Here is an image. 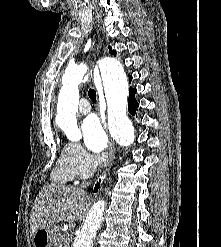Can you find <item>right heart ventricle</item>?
Wrapping results in <instances>:
<instances>
[{"mask_svg": "<svg viewBox=\"0 0 221 247\" xmlns=\"http://www.w3.org/2000/svg\"><path fill=\"white\" fill-rule=\"evenodd\" d=\"M53 180L59 183H67L74 179L72 171L66 164L65 156L62 151L57 166L53 170Z\"/></svg>", "mask_w": 221, "mask_h": 247, "instance_id": "right-heart-ventricle-1", "label": "right heart ventricle"}]
</instances>
